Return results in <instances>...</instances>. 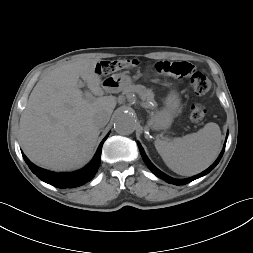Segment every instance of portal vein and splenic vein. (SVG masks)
I'll list each match as a JSON object with an SVG mask.
<instances>
[{"label":"portal vein and splenic vein","instance_id":"portal-vein-and-splenic-vein-1","mask_svg":"<svg viewBox=\"0 0 253 253\" xmlns=\"http://www.w3.org/2000/svg\"><path fill=\"white\" fill-rule=\"evenodd\" d=\"M85 96H86L87 101H90L93 97L89 91H85Z\"/></svg>","mask_w":253,"mask_h":253}]
</instances>
